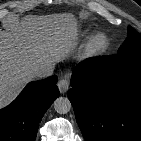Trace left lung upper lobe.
<instances>
[{
    "label": "left lung upper lobe",
    "mask_w": 141,
    "mask_h": 141,
    "mask_svg": "<svg viewBox=\"0 0 141 141\" xmlns=\"http://www.w3.org/2000/svg\"><path fill=\"white\" fill-rule=\"evenodd\" d=\"M131 51H141V35L132 27H128V37L123 45L119 48L117 54Z\"/></svg>",
    "instance_id": "5c2ea615"
}]
</instances>
